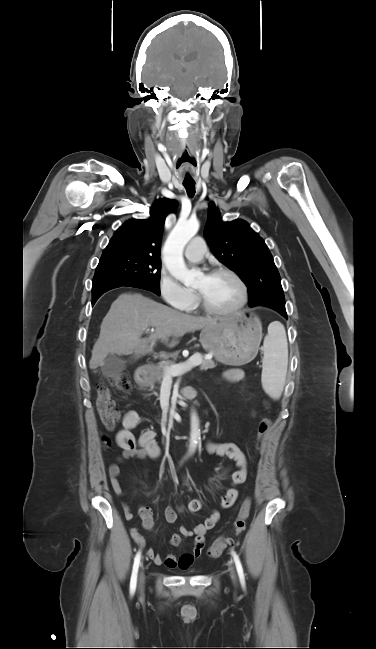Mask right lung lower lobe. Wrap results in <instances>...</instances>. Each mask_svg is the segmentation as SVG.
<instances>
[{
	"mask_svg": "<svg viewBox=\"0 0 376 649\" xmlns=\"http://www.w3.org/2000/svg\"><path fill=\"white\" fill-rule=\"evenodd\" d=\"M121 286H122V285H113V284H109V285H104V286L98 288L97 290L92 291V304L94 305V303L97 301V299H98V298H99L103 293L107 292L108 290H111V289H114V288H117V287H121ZM130 287H136V288H141V289H145V290H149V291H150L149 288H147V287H145V286H142V285H133V286H130Z\"/></svg>",
	"mask_w": 376,
	"mask_h": 649,
	"instance_id": "98d812e1",
	"label": "right lung lower lobe"
}]
</instances>
